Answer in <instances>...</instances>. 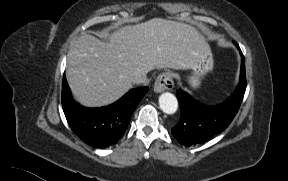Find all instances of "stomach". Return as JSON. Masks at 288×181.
I'll use <instances>...</instances> for the list:
<instances>
[{"instance_id":"1","label":"stomach","mask_w":288,"mask_h":181,"mask_svg":"<svg viewBox=\"0 0 288 181\" xmlns=\"http://www.w3.org/2000/svg\"><path fill=\"white\" fill-rule=\"evenodd\" d=\"M213 65L214 60L211 49L207 43L202 42L196 47L193 54V63L190 67L191 75L188 77L191 87H199L202 78L212 71Z\"/></svg>"}]
</instances>
